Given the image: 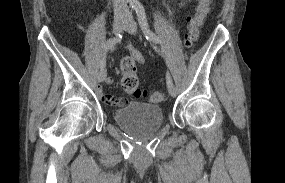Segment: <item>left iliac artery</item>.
Masks as SVG:
<instances>
[{"mask_svg": "<svg viewBox=\"0 0 285 183\" xmlns=\"http://www.w3.org/2000/svg\"><path fill=\"white\" fill-rule=\"evenodd\" d=\"M135 10H136V13L138 16V21H139L140 27H141L146 39L149 41H153L155 43H159L160 42L159 37L157 35H155L149 29L144 8L142 6H138L135 8ZM166 77H167V81L171 80L169 73H167Z\"/></svg>", "mask_w": 285, "mask_h": 183, "instance_id": "44dca946", "label": "left iliac artery"}]
</instances>
